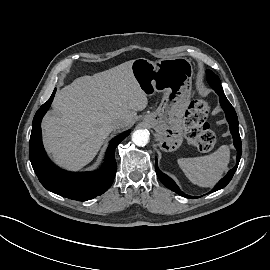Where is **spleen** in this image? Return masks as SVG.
<instances>
[{
  "instance_id": "obj_1",
  "label": "spleen",
  "mask_w": 270,
  "mask_h": 270,
  "mask_svg": "<svg viewBox=\"0 0 270 270\" xmlns=\"http://www.w3.org/2000/svg\"><path fill=\"white\" fill-rule=\"evenodd\" d=\"M229 161V148L222 145L214 153L207 156L180 158L178 165L193 184L201 187H212L221 179Z\"/></svg>"
}]
</instances>
